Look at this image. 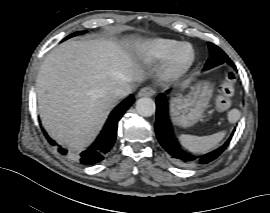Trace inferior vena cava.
Here are the masks:
<instances>
[{
    "instance_id": "602c4592",
    "label": "inferior vena cava",
    "mask_w": 270,
    "mask_h": 213,
    "mask_svg": "<svg viewBox=\"0 0 270 213\" xmlns=\"http://www.w3.org/2000/svg\"><path fill=\"white\" fill-rule=\"evenodd\" d=\"M130 87L127 85L117 86L111 91V96L115 99H119L130 93Z\"/></svg>"
}]
</instances>
